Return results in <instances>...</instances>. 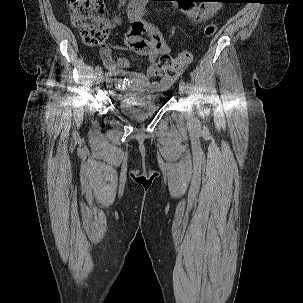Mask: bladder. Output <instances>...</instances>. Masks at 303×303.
Here are the masks:
<instances>
[{"mask_svg": "<svg viewBox=\"0 0 303 303\" xmlns=\"http://www.w3.org/2000/svg\"><path fill=\"white\" fill-rule=\"evenodd\" d=\"M164 102L163 94L124 96L120 100L121 111L129 118L141 120L156 112Z\"/></svg>", "mask_w": 303, "mask_h": 303, "instance_id": "1", "label": "bladder"}]
</instances>
